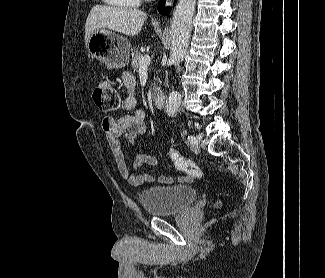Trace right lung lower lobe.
Listing matches in <instances>:
<instances>
[{"instance_id": "right-lung-lower-lobe-1", "label": "right lung lower lobe", "mask_w": 325, "mask_h": 278, "mask_svg": "<svg viewBox=\"0 0 325 278\" xmlns=\"http://www.w3.org/2000/svg\"><path fill=\"white\" fill-rule=\"evenodd\" d=\"M165 0H162L158 5L160 14L167 15L170 12V8H164Z\"/></svg>"}]
</instances>
